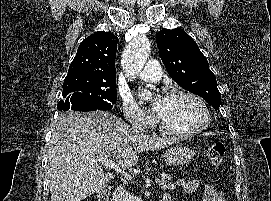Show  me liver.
I'll return each mask as SVG.
<instances>
[{
  "label": "liver",
  "mask_w": 271,
  "mask_h": 201,
  "mask_svg": "<svg viewBox=\"0 0 271 201\" xmlns=\"http://www.w3.org/2000/svg\"><path fill=\"white\" fill-rule=\"evenodd\" d=\"M177 142L130 128L117 116L95 111L59 115L47 146V176L51 201H82L104 189L114 175L105 173L97 158H113L123 168L135 166L138 153Z\"/></svg>",
  "instance_id": "obj_1"
}]
</instances>
